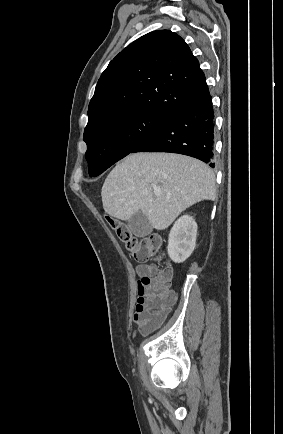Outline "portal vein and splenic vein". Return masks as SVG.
<instances>
[{
    "mask_svg": "<svg viewBox=\"0 0 283 434\" xmlns=\"http://www.w3.org/2000/svg\"><path fill=\"white\" fill-rule=\"evenodd\" d=\"M154 194H155V196H160L161 191H160L159 189H156V190L154 191Z\"/></svg>",
    "mask_w": 283,
    "mask_h": 434,
    "instance_id": "1",
    "label": "portal vein and splenic vein"
}]
</instances>
